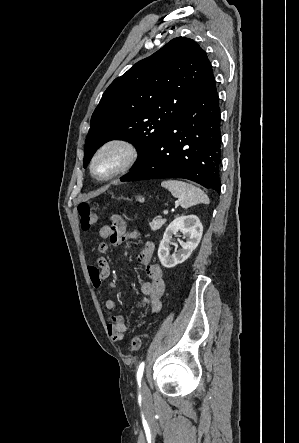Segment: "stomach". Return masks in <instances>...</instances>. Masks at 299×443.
<instances>
[{
    "instance_id": "obj_1",
    "label": "stomach",
    "mask_w": 299,
    "mask_h": 443,
    "mask_svg": "<svg viewBox=\"0 0 299 443\" xmlns=\"http://www.w3.org/2000/svg\"><path fill=\"white\" fill-rule=\"evenodd\" d=\"M137 200L138 201H142V198L139 196V197H137Z\"/></svg>"
}]
</instances>
